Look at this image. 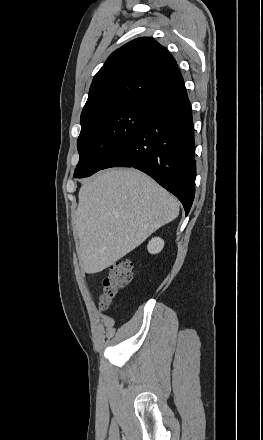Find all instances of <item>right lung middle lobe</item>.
Instances as JSON below:
<instances>
[{"label": "right lung middle lobe", "instance_id": "dd1d6c3e", "mask_svg": "<svg viewBox=\"0 0 263 440\" xmlns=\"http://www.w3.org/2000/svg\"><path fill=\"white\" fill-rule=\"evenodd\" d=\"M151 111V104L134 102L104 110L81 122L77 140L80 160L75 178L101 170L113 152L129 140Z\"/></svg>", "mask_w": 263, "mask_h": 440}]
</instances>
